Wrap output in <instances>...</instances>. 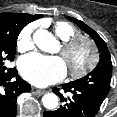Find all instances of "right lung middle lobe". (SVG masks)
<instances>
[{
  "label": "right lung middle lobe",
  "instance_id": "dd1d6c3e",
  "mask_svg": "<svg viewBox=\"0 0 117 117\" xmlns=\"http://www.w3.org/2000/svg\"><path fill=\"white\" fill-rule=\"evenodd\" d=\"M26 23L19 18H11L0 24V73L7 70L5 61H12L16 53V42Z\"/></svg>",
  "mask_w": 117,
  "mask_h": 117
}]
</instances>
